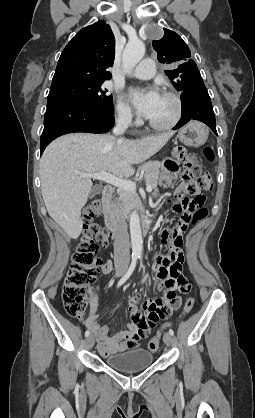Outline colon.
<instances>
[{
  "label": "colon",
  "mask_w": 255,
  "mask_h": 418,
  "mask_svg": "<svg viewBox=\"0 0 255 418\" xmlns=\"http://www.w3.org/2000/svg\"><path fill=\"white\" fill-rule=\"evenodd\" d=\"M203 154L207 160H214L212 148L206 147ZM183 177L187 181L186 190L194 197L183 198L176 204L174 212L177 215L182 213V220L189 224L191 221L195 222L206 216V209L202 207L204 196L201 191L212 189V179L209 173L200 171L191 161L185 163ZM101 212L102 202L100 199L93 200L87 206L84 214V232L72 257L62 287V300L66 312L75 318H81L86 310L91 286L96 282L102 264L99 253L101 248H105L109 244V233L95 222ZM194 303V298L189 297L184 303L180 317L186 316L192 310ZM147 348L152 352L157 351L159 338H152L148 342Z\"/></svg>",
  "instance_id": "colon-1"
}]
</instances>
